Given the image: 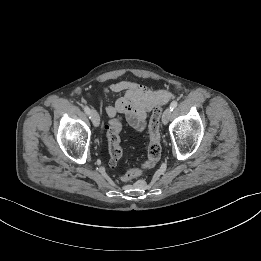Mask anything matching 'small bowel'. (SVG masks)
<instances>
[{
  "instance_id": "1",
  "label": "small bowel",
  "mask_w": 261,
  "mask_h": 261,
  "mask_svg": "<svg viewBox=\"0 0 261 261\" xmlns=\"http://www.w3.org/2000/svg\"><path fill=\"white\" fill-rule=\"evenodd\" d=\"M117 93L122 95L106 107L107 117L113 119L118 113H122L130 125L138 131L144 130L147 113L156 103H166L172 98V94L168 91H154L131 80L114 82L102 91L103 96Z\"/></svg>"
}]
</instances>
